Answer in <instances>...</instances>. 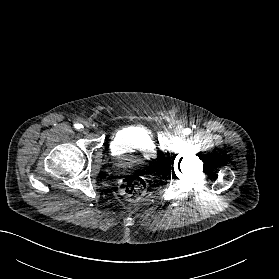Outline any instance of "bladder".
Returning a JSON list of instances; mask_svg holds the SVG:
<instances>
[{
    "instance_id": "1",
    "label": "bladder",
    "mask_w": 279,
    "mask_h": 279,
    "mask_svg": "<svg viewBox=\"0 0 279 279\" xmlns=\"http://www.w3.org/2000/svg\"><path fill=\"white\" fill-rule=\"evenodd\" d=\"M110 151L123 167L141 166L157 157V148L150 129L130 125L115 131L110 139Z\"/></svg>"
}]
</instances>
